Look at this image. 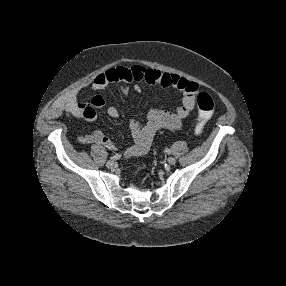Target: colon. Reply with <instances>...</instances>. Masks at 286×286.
<instances>
[{
  "mask_svg": "<svg viewBox=\"0 0 286 286\" xmlns=\"http://www.w3.org/2000/svg\"><path fill=\"white\" fill-rule=\"evenodd\" d=\"M199 114L195 127V134L200 135L205 124L210 120L214 112V103L210 95L206 92H201L196 98Z\"/></svg>",
  "mask_w": 286,
  "mask_h": 286,
  "instance_id": "1",
  "label": "colon"
}]
</instances>
